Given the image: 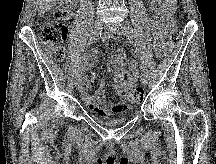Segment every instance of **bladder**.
Here are the masks:
<instances>
[{
	"mask_svg": "<svg viewBox=\"0 0 216 164\" xmlns=\"http://www.w3.org/2000/svg\"><path fill=\"white\" fill-rule=\"evenodd\" d=\"M127 120H128V116H123V117L109 119V120L98 119L97 122L104 126H116V125L126 122Z\"/></svg>",
	"mask_w": 216,
	"mask_h": 164,
	"instance_id": "31cf9c89",
	"label": "bladder"
}]
</instances>
